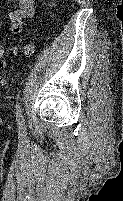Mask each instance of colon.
<instances>
[{
  "label": "colon",
  "instance_id": "colon-1",
  "mask_svg": "<svg viewBox=\"0 0 123 201\" xmlns=\"http://www.w3.org/2000/svg\"><path fill=\"white\" fill-rule=\"evenodd\" d=\"M10 52L14 55H31L35 51V46L33 44H27L23 47L12 46L9 48ZM6 48L3 45H0V67H5L6 63L3 60L5 55Z\"/></svg>",
  "mask_w": 123,
  "mask_h": 201
}]
</instances>
